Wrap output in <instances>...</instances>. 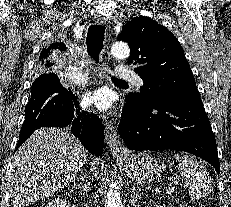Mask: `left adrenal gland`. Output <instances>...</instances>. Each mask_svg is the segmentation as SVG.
<instances>
[{
	"instance_id": "obj_1",
	"label": "left adrenal gland",
	"mask_w": 231,
	"mask_h": 207,
	"mask_svg": "<svg viewBox=\"0 0 231 207\" xmlns=\"http://www.w3.org/2000/svg\"><path fill=\"white\" fill-rule=\"evenodd\" d=\"M138 197L139 196L137 194V191H136L135 187H133V191H132V194H131V200H130V202H131V204L133 206H135V203L137 202Z\"/></svg>"
}]
</instances>
